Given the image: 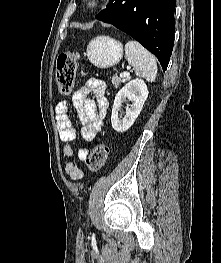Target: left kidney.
<instances>
[{"label":"left kidney","mask_w":221,"mask_h":263,"mask_svg":"<svg viewBox=\"0 0 221 263\" xmlns=\"http://www.w3.org/2000/svg\"><path fill=\"white\" fill-rule=\"evenodd\" d=\"M148 93L147 85L141 79L129 81L117 93L111 114V124L115 131L125 132L133 125L142 110V107L148 97ZM127 99L131 101V105L126 108L125 116L120 119L119 111L122 103Z\"/></svg>","instance_id":"obj_1"}]
</instances>
